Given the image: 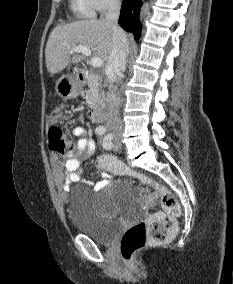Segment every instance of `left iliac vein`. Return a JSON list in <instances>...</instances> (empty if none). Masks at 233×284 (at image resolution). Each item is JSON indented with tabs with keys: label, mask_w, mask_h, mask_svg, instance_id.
<instances>
[{
	"label": "left iliac vein",
	"mask_w": 233,
	"mask_h": 284,
	"mask_svg": "<svg viewBox=\"0 0 233 284\" xmlns=\"http://www.w3.org/2000/svg\"><path fill=\"white\" fill-rule=\"evenodd\" d=\"M121 140L119 137H115L112 141V149L113 150H119L121 148Z\"/></svg>",
	"instance_id": "left-iliac-vein-1"
}]
</instances>
